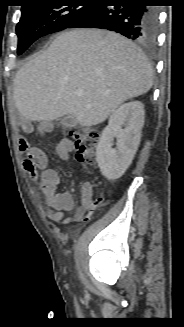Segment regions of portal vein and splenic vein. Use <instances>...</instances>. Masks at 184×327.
Wrapping results in <instances>:
<instances>
[{
  "label": "portal vein and splenic vein",
  "instance_id": "portal-vein-and-splenic-vein-1",
  "mask_svg": "<svg viewBox=\"0 0 184 327\" xmlns=\"http://www.w3.org/2000/svg\"><path fill=\"white\" fill-rule=\"evenodd\" d=\"M83 93H84V91H83L82 89H79V90H77V92H76V94H77L78 96H82Z\"/></svg>",
  "mask_w": 184,
  "mask_h": 327
}]
</instances>
